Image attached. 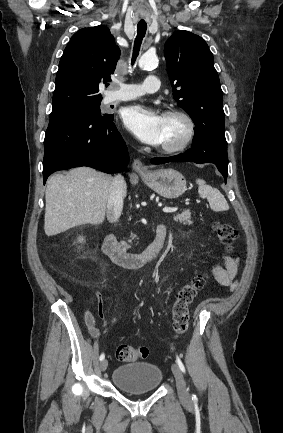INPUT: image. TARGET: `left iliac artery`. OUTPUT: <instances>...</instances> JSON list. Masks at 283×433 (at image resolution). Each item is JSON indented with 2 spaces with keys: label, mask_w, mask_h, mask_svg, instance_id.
Returning a JSON list of instances; mask_svg holds the SVG:
<instances>
[{
  "label": "left iliac artery",
  "mask_w": 283,
  "mask_h": 433,
  "mask_svg": "<svg viewBox=\"0 0 283 433\" xmlns=\"http://www.w3.org/2000/svg\"><path fill=\"white\" fill-rule=\"evenodd\" d=\"M176 362H177V364H178L180 370H181L182 372L185 373V367H184V364L182 363L181 359H180L178 356H177V358H176ZM193 399H196V395H192V400H193Z\"/></svg>",
  "instance_id": "left-iliac-artery-1"
}]
</instances>
